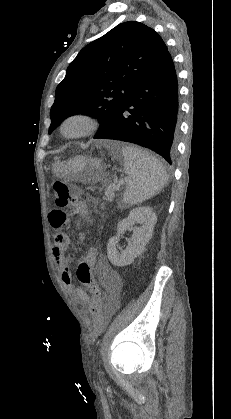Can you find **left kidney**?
Listing matches in <instances>:
<instances>
[{"label": "left kidney", "mask_w": 231, "mask_h": 419, "mask_svg": "<svg viewBox=\"0 0 231 419\" xmlns=\"http://www.w3.org/2000/svg\"><path fill=\"white\" fill-rule=\"evenodd\" d=\"M156 221V214L150 207H138L130 211L128 217L118 223L116 236L110 238L107 244V255L110 262L117 267L131 264L142 253L151 238ZM136 223L142 226L135 227L129 247L121 254L118 253L116 245L119 242L120 234Z\"/></svg>", "instance_id": "obj_1"}]
</instances>
